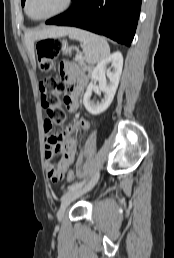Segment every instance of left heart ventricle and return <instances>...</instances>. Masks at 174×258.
Listing matches in <instances>:
<instances>
[{
  "mask_svg": "<svg viewBox=\"0 0 174 258\" xmlns=\"http://www.w3.org/2000/svg\"><path fill=\"white\" fill-rule=\"evenodd\" d=\"M64 0H30L28 11L34 17H42L62 7Z\"/></svg>",
  "mask_w": 174,
  "mask_h": 258,
  "instance_id": "obj_1",
  "label": "left heart ventricle"
}]
</instances>
